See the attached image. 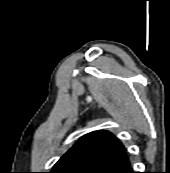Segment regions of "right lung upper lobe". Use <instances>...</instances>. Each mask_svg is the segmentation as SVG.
I'll list each match as a JSON object with an SVG mask.
<instances>
[{
	"label": "right lung upper lobe",
	"mask_w": 170,
	"mask_h": 173,
	"mask_svg": "<svg viewBox=\"0 0 170 173\" xmlns=\"http://www.w3.org/2000/svg\"><path fill=\"white\" fill-rule=\"evenodd\" d=\"M126 161L124 145L111 132L95 131L81 137L50 173H105Z\"/></svg>",
	"instance_id": "1"
}]
</instances>
